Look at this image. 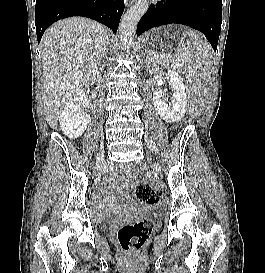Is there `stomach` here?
Returning a JSON list of instances; mask_svg holds the SVG:
<instances>
[{
	"label": "stomach",
	"mask_w": 265,
	"mask_h": 273,
	"mask_svg": "<svg viewBox=\"0 0 265 273\" xmlns=\"http://www.w3.org/2000/svg\"><path fill=\"white\" fill-rule=\"evenodd\" d=\"M186 25H157V30H148L144 40H139V49H150L146 56H178L180 35L186 34Z\"/></svg>",
	"instance_id": "1"
}]
</instances>
